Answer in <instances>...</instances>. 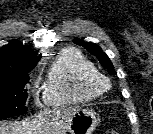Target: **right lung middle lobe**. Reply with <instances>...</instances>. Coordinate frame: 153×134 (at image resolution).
Returning a JSON list of instances; mask_svg holds the SVG:
<instances>
[{
  "label": "right lung middle lobe",
  "mask_w": 153,
  "mask_h": 134,
  "mask_svg": "<svg viewBox=\"0 0 153 134\" xmlns=\"http://www.w3.org/2000/svg\"><path fill=\"white\" fill-rule=\"evenodd\" d=\"M29 80L28 73L0 75V120L27 112L24 87Z\"/></svg>",
  "instance_id": "obj_1"
}]
</instances>
